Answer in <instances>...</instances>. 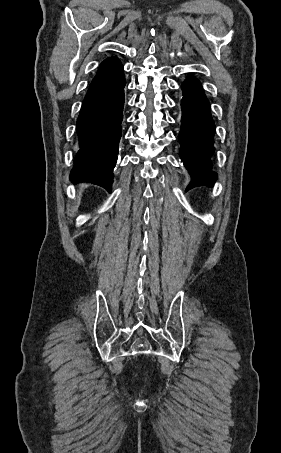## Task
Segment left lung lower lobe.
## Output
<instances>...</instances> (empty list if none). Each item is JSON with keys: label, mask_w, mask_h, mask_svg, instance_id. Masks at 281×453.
<instances>
[{"label": "left lung lower lobe", "mask_w": 281, "mask_h": 453, "mask_svg": "<svg viewBox=\"0 0 281 453\" xmlns=\"http://www.w3.org/2000/svg\"><path fill=\"white\" fill-rule=\"evenodd\" d=\"M182 91L181 131L178 139L181 144L180 157L192 177L187 187L189 190L196 186L211 185L217 180L210 160L215 150V125L200 82L188 77L182 84Z\"/></svg>", "instance_id": "left-lung-lower-lobe-1"}]
</instances>
